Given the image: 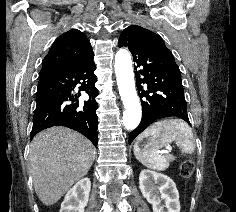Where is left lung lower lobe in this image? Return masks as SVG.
Returning <instances> with one entry per match:
<instances>
[{
    "mask_svg": "<svg viewBox=\"0 0 236 212\" xmlns=\"http://www.w3.org/2000/svg\"><path fill=\"white\" fill-rule=\"evenodd\" d=\"M118 46L128 47L133 55L142 103V119L131 132L129 144L151 123L161 118L179 117L190 124L181 73L161 37L148 30L125 29Z\"/></svg>",
    "mask_w": 236,
    "mask_h": 212,
    "instance_id": "left-lung-lower-lobe-1",
    "label": "left lung lower lobe"
}]
</instances>
